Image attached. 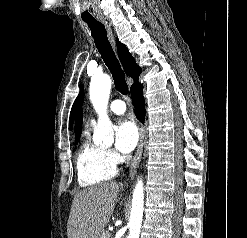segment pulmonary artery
Segmentation results:
<instances>
[{
  "label": "pulmonary artery",
  "instance_id": "obj_1",
  "mask_svg": "<svg viewBox=\"0 0 247 238\" xmlns=\"http://www.w3.org/2000/svg\"><path fill=\"white\" fill-rule=\"evenodd\" d=\"M109 110L115 114H123L126 111V104L122 100H114L109 105ZM96 119L93 118L91 123H95Z\"/></svg>",
  "mask_w": 247,
  "mask_h": 238
}]
</instances>
